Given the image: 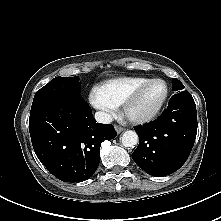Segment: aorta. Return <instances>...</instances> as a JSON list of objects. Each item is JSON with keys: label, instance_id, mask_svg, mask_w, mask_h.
<instances>
[{"label": "aorta", "instance_id": "1", "mask_svg": "<svg viewBox=\"0 0 221 221\" xmlns=\"http://www.w3.org/2000/svg\"><path fill=\"white\" fill-rule=\"evenodd\" d=\"M121 142L126 148H134L138 143V135L135 131L127 130L123 133Z\"/></svg>", "mask_w": 221, "mask_h": 221}]
</instances>
